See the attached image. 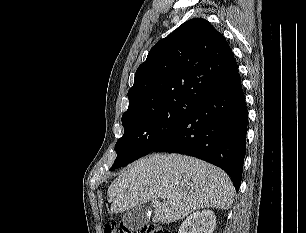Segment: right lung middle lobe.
<instances>
[{"label":"right lung middle lobe","mask_w":306,"mask_h":233,"mask_svg":"<svg viewBox=\"0 0 306 233\" xmlns=\"http://www.w3.org/2000/svg\"><path fill=\"white\" fill-rule=\"evenodd\" d=\"M197 106L182 98L164 99L123 114L124 135L116 143L117 158L110 171L153 151Z\"/></svg>","instance_id":"1"}]
</instances>
